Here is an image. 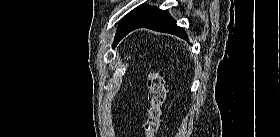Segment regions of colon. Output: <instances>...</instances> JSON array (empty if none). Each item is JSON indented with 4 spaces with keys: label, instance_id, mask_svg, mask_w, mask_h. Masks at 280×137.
<instances>
[{
    "label": "colon",
    "instance_id": "obj_1",
    "mask_svg": "<svg viewBox=\"0 0 280 137\" xmlns=\"http://www.w3.org/2000/svg\"><path fill=\"white\" fill-rule=\"evenodd\" d=\"M148 108L147 118L143 124L144 137H155L161 124L162 105L166 90L164 79L159 71H150L147 76Z\"/></svg>",
    "mask_w": 280,
    "mask_h": 137
}]
</instances>
